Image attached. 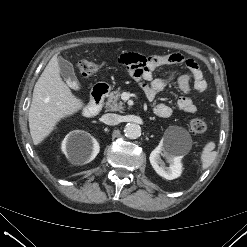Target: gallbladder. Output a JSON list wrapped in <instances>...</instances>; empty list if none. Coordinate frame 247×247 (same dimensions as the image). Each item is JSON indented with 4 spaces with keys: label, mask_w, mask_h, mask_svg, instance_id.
<instances>
[{
    "label": "gallbladder",
    "mask_w": 247,
    "mask_h": 247,
    "mask_svg": "<svg viewBox=\"0 0 247 247\" xmlns=\"http://www.w3.org/2000/svg\"><path fill=\"white\" fill-rule=\"evenodd\" d=\"M57 62L60 68V74L66 83L76 89L78 87V80L74 72V68L71 62L64 59L63 57H58Z\"/></svg>",
    "instance_id": "gallbladder-1"
}]
</instances>
